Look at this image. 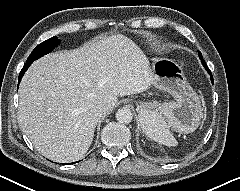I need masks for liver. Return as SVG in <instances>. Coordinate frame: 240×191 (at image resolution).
Masks as SVG:
<instances>
[{"label":"liver","mask_w":240,"mask_h":191,"mask_svg":"<svg viewBox=\"0 0 240 191\" xmlns=\"http://www.w3.org/2000/svg\"><path fill=\"white\" fill-rule=\"evenodd\" d=\"M153 83L148 60L129 38L112 35L79 49L33 62L19 87V123L35 148L54 162H73L88 151L98 120L119 96ZM106 103L99 113L96 105Z\"/></svg>","instance_id":"1"}]
</instances>
